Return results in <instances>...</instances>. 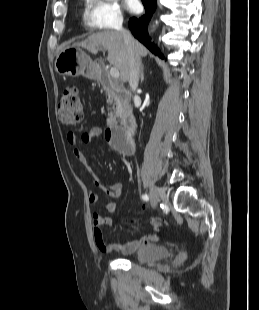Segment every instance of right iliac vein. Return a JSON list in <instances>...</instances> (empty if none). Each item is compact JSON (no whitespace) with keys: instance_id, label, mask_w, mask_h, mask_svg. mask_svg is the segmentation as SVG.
Masks as SVG:
<instances>
[{"instance_id":"63e3f726","label":"right iliac vein","mask_w":259,"mask_h":310,"mask_svg":"<svg viewBox=\"0 0 259 310\" xmlns=\"http://www.w3.org/2000/svg\"><path fill=\"white\" fill-rule=\"evenodd\" d=\"M150 198L153 208H156L159 202V199L166 200L165 192L156 185L150 186Z\"/></svg>"}]
</instances>
